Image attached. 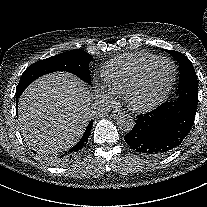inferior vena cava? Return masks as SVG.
Masks as SVG:
<instances>
[{
  "mask_svg": "<svg viewBox=\"0 0 207 207\" xmlns=\"http://www.w3.org/2000/svg\"><path fill=\"white\" fill-rule=\"evenodd\" d=\"M95 111H96V107L95 106H91L90 114H94Z\"/></svg>",
  "mask_w": 207,
  "mask_h": 207,
  "instance_id": "602c4592",
  "label": "inferior vena cava"
}]
</instances>
